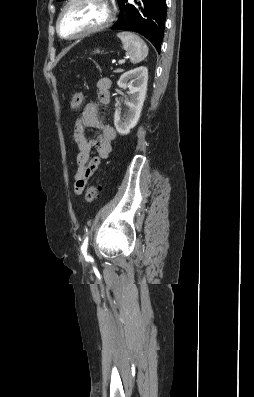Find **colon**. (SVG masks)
<instances>
[{
  "label": "colon",
  "instance_id": "obj_1",
  "mask_svg": "<svg viewBox=\"0 0 254 397\" xmlns=\"http://www.w3.org/2000/svg\"><path fill=\"white\" fill-rule=\"evenodd\" d=\"M83 100H84L83 92L80 90L75 92L70 101V108L72 110L78 109L83 103ZM99 192H100V187H98L97 185L90 186L86 192V200L90 203L93 202L99 196Z\"/></svg>",
  "mask_w": 254,
  "mask_h": 397
}]
</instances>
